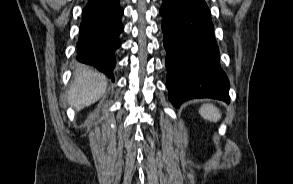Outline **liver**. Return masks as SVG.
Here are the masks:
<instances>
[{
    "label": "liver",
    "mask_w": 293,
    "mask_h": 184,
    "mask_svg": "<svg viewBox=\"0 0 293 184\" xmlns=\"http://www.w3.org/2000/svg\"><path fill=\"white\" fill-rule=\"evenodd\" d=\"M106 87L107 78L103 74L79 65L68 91V102L76 110H81L98 101Z\"/></svg>",
    "instance_id": "liver-1"
}]
</instances>
